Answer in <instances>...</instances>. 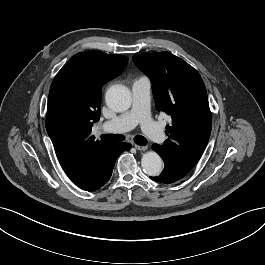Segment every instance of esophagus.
Listing matches in <instances>:
<instances>
[{
	"label": "esophagus",
	"mask_w": 265,
	"mask_h": 265,
	"mask_svg": "<svg viewBox=\"0 0 265 265\" xmlns=\"http://www.w3.org/2000/svg\"><path fill=\"white\" fill-rule=\"evenodd\" d=\"M135 148L138 150V151H145L147 150V146H140V145H135Z\"/></svg>",
	"instance_id": "obj_1"
}]
</instances>
